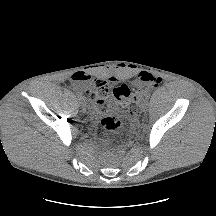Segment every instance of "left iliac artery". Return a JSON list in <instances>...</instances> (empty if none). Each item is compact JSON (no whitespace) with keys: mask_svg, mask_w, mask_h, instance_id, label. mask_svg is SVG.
<instances>
[{"mask_svg":"<svg viewBox=\"0 0 216 216\" xmlns=\"http://www.w3.org/2000/svg\"><path fill=\"white\" fill-rule=\"evenodd\" d=\"M148 103H150V98L143 99V104H148Z\"/></svg>","mask_w":216,"mask_h":216,"instance_id":"1","label":"left iliac artery"}]
</instances>
